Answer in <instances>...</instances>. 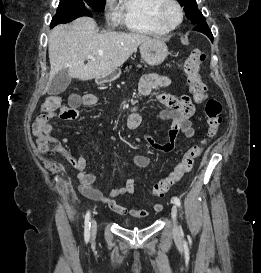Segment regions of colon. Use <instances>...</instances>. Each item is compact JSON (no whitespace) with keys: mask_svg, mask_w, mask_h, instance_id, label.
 Returning a JSON list of instances; mask_svg holds the SVG:
<instances>
[{"mask_svg":"<svg viewBox=\"0 0 261 273\" xmlns=\"http://www.w3.org/2000/svg\"><path fill=\"white\" fill-rule=\"evenodd\" d=\"M204 59V54L200 49L193 50L183 62V71L186 75V82L191 94L198 102L206 99L207 88L200 75V65ZM80 98L73 95L69 99V104L63 105L60 97L52 96L45 100L41 106V113L36 118L32 126V132L36 143L42 152L59 151L60 142L51 134L46 127L47 117L50 113L57 111L63 120H73L77 117V106ZM205 114L207 117V136L211 138L216 135L221 122V104L218 100L210 98L205 103ZM203 150V143L190 147L181 161L174 167L167 177L153 185L150 192L154 196H163L168 190L178 182L184 175L189 173Z\"/></svg>","mask_w":261,"mask_h":273,"instance_id":"obj_1","label":"colon"}]
</instances>
